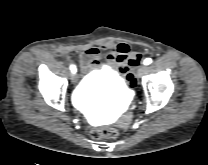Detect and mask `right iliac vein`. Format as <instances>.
Returning a JSON list of instances; mask_svg holds the SVG:
<instances>
[{
  "label": "right iliac vein",
  "mask_w": 208,
  "mask_h": 165,
  "mask_svg": "<svg viewBox=\"0 0 208 165\" xmlns=\"http://www.w3.org/2000/svg\"><path fill=\"white\" fill-rule=\"evenodd\" d=\"M77 80H78L77 74H75V73L72 74V75H71V81H72V83L75 84V83L77 82Z\"/></svg>",
  "instance_id": "right-iliac-vein-1"
}]
</instances>
